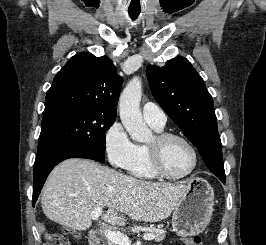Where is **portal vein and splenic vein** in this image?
<instances>
[{"label": "portal vein and splenic vein", "instance_id": "1", "mask_svg": "<svg viewBox=\"0 0 266 245\" xmlns=\"http://www.w3.org/2000/svg\"><path fill=\"white\" fill-rule=\"evenodd\" d=\"M103 213V209L101 207H97V209H93L91 213V219L93 221H97L99 217H101ZM104 237L108 239V241H111V243H115V245H131V241L127 235H123V233H118V231H109V229H106L103 233ZM144 241H152V239H155L154 235H144L142 237Z\"/></svg>", "mask_w": 266, "mask_h": 245}]
</instances>
